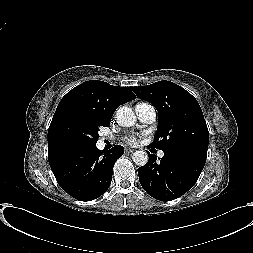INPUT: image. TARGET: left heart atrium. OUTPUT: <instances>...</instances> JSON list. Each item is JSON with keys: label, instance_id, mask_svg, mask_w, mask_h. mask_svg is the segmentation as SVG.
I'll return each instance as SVG.
<instances>
[{"label": "left heart atrium", "instance_id": "left-heart-atrium-1", "mask_svg": "<svg viewBox=\"0 0 253 253\" xmlns=\"http://www.w3.org/2000/svg\"><path fill=\"white\" fill-rule=\"evenodd\" d=\"M126 141L130 144H135L137 142V137L136 136H129L126 138Z\"/></svg>", "mask_w": 253, "mask_h": 253}]
</instances>
